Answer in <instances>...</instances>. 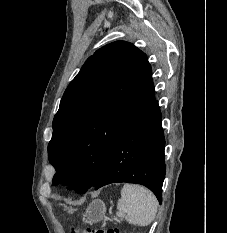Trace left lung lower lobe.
<instances>
[{
  "instance_id": "1",
  "label": "left lung lower lobe",
  "mask_w": 227,
  "mask_h": 233,
  "mask_svg": "<svg viewBox=\"0 0 227 233\" xmlns=\"http://www.w3.org/2000/svg\"><path fill=\"white\" fill-rule=\"evenodd\" d=\"M161 119L158 101H154L115 144L95 190L110 183H136L149 188L162 202L166 168Z\"/></svg>"
}]
</instances>
